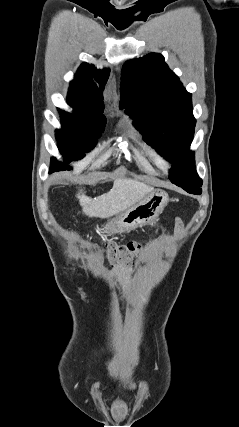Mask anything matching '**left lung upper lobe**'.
<instances>
[{"mask_svg":"<svg viewBox=\"0 0 239 427\" xmlns=\"http://www.w3.org/2000/svg\"><path fill=\"white\" fill-rule=\"evenodd\" d=\"M120 109L135 120L146 142L173 162L171 181L180 187L201 186L189 151L196 120L191 94L164 62L161 54L150 53L127 61L122 69Z\"/></svg>","mask_w":239,"mask_h":427,"instance_id":"left-lung-upper-lobe-1","label":"left lung upper lobe"}]
</instances>
